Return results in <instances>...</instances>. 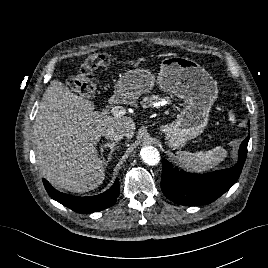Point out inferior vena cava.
Listing matches in <instances>:
<instances>
[{"instance_id":"obj_1","label":"inferior vena cava","mask_w":268,"mask_h":268,"mask_svg":"<svg viewBox=\"0 0 268 268\" xmlns=\"http://www.w3.org/2000/svg\"><path fill=\"white\" fill-rule=\"evenodd\" d=\"M103 135L109 140H121L124 136H126V132L119 126H109L104 130Z\"/></svg>"}]
</instances>
